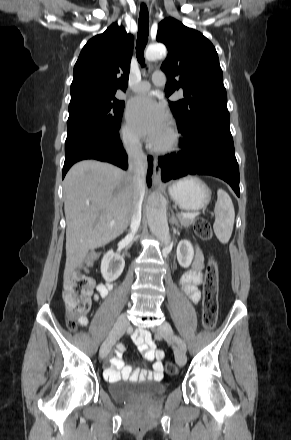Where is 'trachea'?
<instances>
[{
  "label": "trachea",
  "instance_id": "obj_1",
  "mask_svg": "<svg viewBox=\"0 0 291 440\" xmlns=\"http://www.w3.org/2000/svg\"><path fill=\"white\" fill-rule=\"evenodd\" d=\"M149 35V13L145 4L141 5L139 21H138V35L136 43V56L139 63L144 66V49L148 42Z\"/></svg>",
  "mask_w": 291,
  "mask_h": 440
}]
</instances>
